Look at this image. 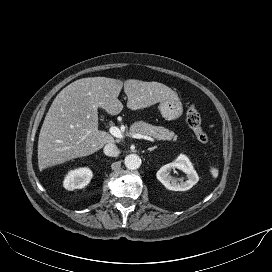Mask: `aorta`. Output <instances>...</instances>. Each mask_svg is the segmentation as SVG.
I'll return each instance as SVG.
<instances>
[{"mask_svg":"<svg viewBox=\"0 0 272 272\" xmlns=\"http://www.w3.org/2000/svg\"><path fill=\"white\" fill-rule=\"evenodd\" d=\"M125 166L129 170L138 169L141 165V158L136 154H130L125 157Z\"/></svg>","mask_w":272,"mask_h":272,"instance_id":"762f6f07","label":"aorta"}]
</instances>
